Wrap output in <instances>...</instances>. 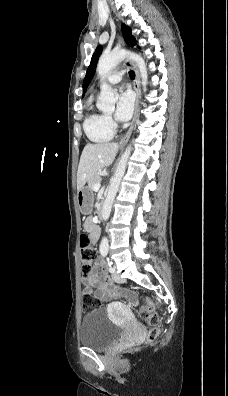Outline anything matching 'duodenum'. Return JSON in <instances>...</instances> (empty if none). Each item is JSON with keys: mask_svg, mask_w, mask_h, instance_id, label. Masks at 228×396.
<instances>
[{"mask_svg": "<svg viewBox=\"0 0 228 396\" xmlns=\"http://www.w3.org/2000/svg\"><path fill=\"white\" fill-rule=\"evenodd\" d=\"M99 218H103L104 215V205L102 204L98 210Z\"/></svg>", "mask_w": 228, "mask_h": 396, "instance_id": "duodenum-1", "label": "duodenum"}]
</instances>
